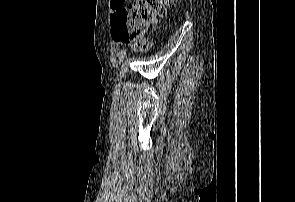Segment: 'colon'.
<instances>
[{"mask_svg": "<svg viewBox=\"0 0 295 202\" xmlns=\"http://www.w3.org/2000/svg\"><path fill=\"white\" fill-rule=\"evenodd\" d=\"M175 3L176 0H136L129 4L115 17L114 39L119 43L130 42L138 49L146 48V32L155 28Z\"/></svg>", "mask_w": 295, "mask_h": 202, "instance_id": "colon-1", "label": "colon"}]
</instances>
